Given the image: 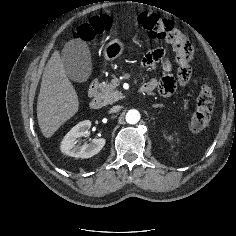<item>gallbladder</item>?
Here are the masks:
<instances>
[{"label":"gallbladder","mask_w":236,"mask_h":236,"mask_svg":"<svg viewBox=\"0 0 236 236\" xmlns=\"http://www.w3.org/2000/svg\"><path fill=\"white\" fill-rule=\"evenodd\" d=\"M62 63L68 77L75 82H85L92 70L91 54L87 44L81 40H71L61 53Z\"/></svg>","instance_id":"bac80fb5"}]
</instances>
